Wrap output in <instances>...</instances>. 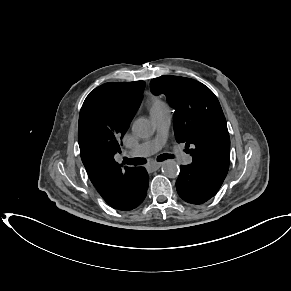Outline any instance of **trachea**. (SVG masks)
I'll use <instances>...</instances> for the list:
<instances>
[{
	"mask_svg": "<svg viewBox=\"0 0 291 291\" xmlns=\"http://www.w3.org/2000/svg\"><path fill=\"white\" fill-rule=\"evenodd\" d=\"M172 158H173L172 154H162L157 157V160L164 161L166 159H172ZM123 163L128 164V165H142L146 163V160L144 158H132V159L124 158Z\"/></svg>",
	"mask_w": 291,
	"mask_h": 291,
	"instance_id": "1",
	"label": "trachea"
}]
</instances>
